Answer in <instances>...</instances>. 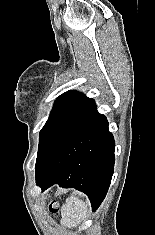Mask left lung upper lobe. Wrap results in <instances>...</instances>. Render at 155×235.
I'll list each match as a JSON object with an SVG mask.
<instances>
[{
  "mask_svg": "<svg viewBox=\"0 0 155 235\" xmlns=\"http://www.w3.org/2000/svg\"><path fill=\"white\" fill-rule=\"evenodd\" d=\"M96 108L93 99L78 91L60 95L54 104L49 119L40 131L36 173L61 141L79 126Z\"/></svg>",
  "mask_w": 155,
  "mask_h": 235,
  "instance_id": "5c2ea615",
  "label": "left lung upper lobe"
}]
</instances>
